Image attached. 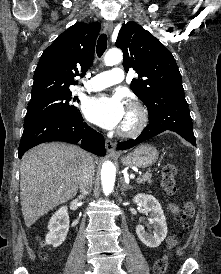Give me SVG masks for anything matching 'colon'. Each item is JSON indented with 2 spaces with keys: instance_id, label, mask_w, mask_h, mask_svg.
<instances>
[{
  "instance_id": "colon-1",
  "label": "colon",
  "mask_w": 221,
  "mask_h": 274,
  "mask_svg": "<svg viewBox=\"0 0 221 274\" xmlns=\"http://www.w3.org/2000/svg\"><path fill=\"white\" fill-rule=\"evenodd\" d=\"M176 167L169 163L163 167L162 170V187L168 194H173L176 191ZM195 212L194 204L191 201H186L183 204V212L182 218L185 221H189L192 219ZM183 233H175L172 234L168 239V247L167 251L157 260L154 267L155 274H165L167 265H168V257L169 252L172 250L180 241Z\"/></svg>"
}]
</instances>
